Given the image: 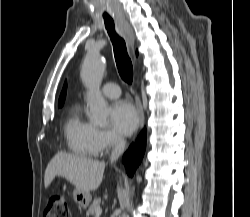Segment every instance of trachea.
I'll return each mask as SVG.
<instances>
[{
  "mask_svg": "<svg viewBox=\"0 0 250 217\" xmlns=\"http://www.w3.org/2000/svg\"><path fill=\"white\" fill-rule=\"evenodd\" d=\"M104 23L113 44L118 72L121 78L130 84L133 80V66L127 53L125 41L116 33L112 19H105Z\"/></svg>",
  "mask_w": 250,
  "mask_h": 217,
  "instance_id": "1",
  "label": "trachea"
}]
</instances>
